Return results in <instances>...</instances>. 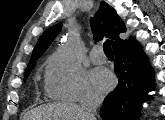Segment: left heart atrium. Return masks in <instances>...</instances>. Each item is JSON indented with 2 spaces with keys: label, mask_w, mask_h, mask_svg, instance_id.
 Returning a JSON list of instances; mask_svg holds the SVG:
<instances>
[{
  "label": "left heart atrium",
  "mask_w": 165,
  "mask_h": 120,
  "mask_svg": "<svg viewBox=\"0 0 165 120\" xmlns=\"http://www.w3.org/2000/svg\"><path fill=\"white\" fill-rule=\"evenodd\" d=\"M94 84L102 91L110 90L115 84L114 75L106 68H96L92 72Z\"/></svg>",
  "instance_id": "39dd6f15"
}]
</instances>
